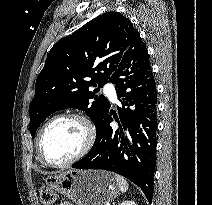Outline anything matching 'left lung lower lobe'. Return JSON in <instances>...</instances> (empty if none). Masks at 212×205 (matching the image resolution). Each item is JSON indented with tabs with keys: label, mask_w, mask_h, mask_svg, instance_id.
I'll use <instances>...</instances> for the list:
<instances>
[{
	"label": "left lung lower lobe",
	"mask_w": 212,
	"mask_h": 205,
	"mask_svg": "<svg viewBox=\"0 0 212 205\" xmlns=\"http://www.w3.org/2000/svg\"><path fill=\"white\" fill-rule=\"evenodd\" d=\"M110 82L122 107L120 129L113 130L108 110L96 127V140L89 153L72 165L78 169H104L138 185L149 203L153 197L156 165L157 92L149 55L140 35L133 37Z\"/></svg>",
	"instance_id": "left-lung-lower-lobe-1"
}]
</instances>
